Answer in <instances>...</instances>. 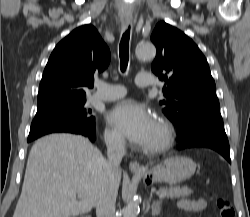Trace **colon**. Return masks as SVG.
Segmentation results:
<instances>
[{
	"instance_id": "5ec220e1",
	"label": "colon",
	"mask_w": 250,
	"mask_h": 217,
	"mask_svg": "<svg viewBox=\"0 0 250 217\" xmlns=\"http://www.w3.org/2000/svg\"><path fill=\"white\" fill-rule=\"evenodd\" d=\"M216 206L219 212V217H235V211L227 197L218 196L216 198Z\"/></svg>"
}]
</instances>
